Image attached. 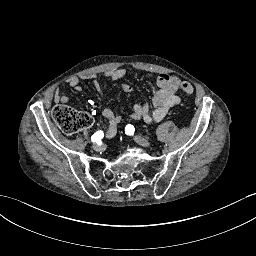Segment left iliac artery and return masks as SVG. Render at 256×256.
<instances>
[{
  "mask_svg": "<svg viewBox=\"0 0 256 256\" xmlns=\"http://www.w3.org/2000/svg\"><path fill=\"white\" fill-rule=\"evenodd\" d=\"M134 131H135V128L133 125L131 124H128L126 127H125V133L127 135H133L134 134Z\"/></svg>",
  "mask_w": 256,
  "mask_h": 256,
  "instance_id": "left-iliac-artery-1",
  "label": "left iliac artery"
}]
</instances>
